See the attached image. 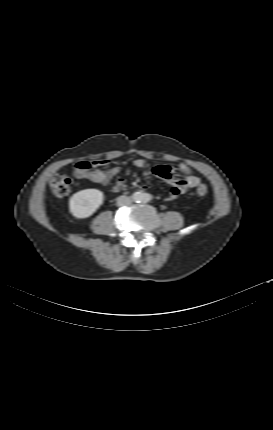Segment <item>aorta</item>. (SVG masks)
<instances>
[{
    "instance_id": "obj_1",
    "label": "aorta",
    "mask_w": 273,
    "mask_h": 430,
    "mask_svg": "<svg viewBox=\"0 0 273 430\" xmlns=\"http://www.w3.org/2000/svg\"><path fill=\"white\" fill-rule=\"evenodd\" d=\"M145 194L144 193H142V192H135L134 194H133V199L135 200V201H140V200H143V199H145Z\"/></svg>"
}]
</instances>
